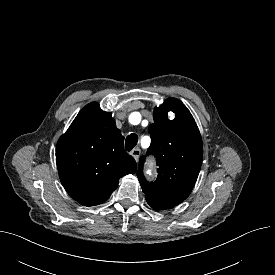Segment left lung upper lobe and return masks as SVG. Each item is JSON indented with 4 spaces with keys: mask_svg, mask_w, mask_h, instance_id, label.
Here are the masks:
<instances>
[{
    "mask_svg": "<svg viewBox=\"0 0 275 275\" xmlns=\"http://www.w3.org/2000/svg\"><path fill=\"white\" fill-rule=\"evenodd\" d=\"M175 113L173 120L168 113ZM151 145L147 155L156 157L158 177L155 182L145 180L142 170L145 156L139 161L137 176L145 196L185 200L197 180L203 144L200 132L187 107L176 98H168L154 109V123L148 129Z\"/></svg>",
    "mask_w": 275,
    "mask_h": 275,
    "instance_id": "obj_1",
    "label": "left lung upper lobe"
}]
</instances>
